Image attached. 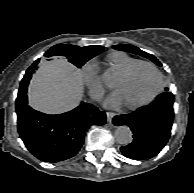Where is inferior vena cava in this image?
Listing matches in <instances>:
<instances>
[{"instance_id":"obj_1","label":"inferior vena cava","mask_w":194,"mask_h":193,"mask_svg":"<svg viewBox=\"0 0 194 193\" xmlns=\"http://www.w3.org/2000/svg\"><path fill=\"white\" fill-rule=\"evenodd\" d=\"M96 99H99V95H96V97H95Z\"/></svg>"}]
</instances>
